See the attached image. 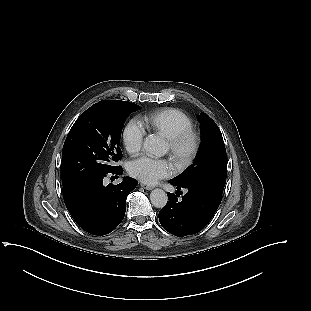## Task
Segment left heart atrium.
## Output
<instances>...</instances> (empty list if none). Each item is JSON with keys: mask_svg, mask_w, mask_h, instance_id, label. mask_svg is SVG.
Here are the masks:
<instances>
[{"mask_svg": "<svg viewBox=\"0 0 311 311\" xmlns=\"http://www.w3.org/2000/svg\"><path fill=\"white\" fill-rule=\"evenodd\" d=\"M128 170L133 177L151 184L168 176L171 172V166L165 159L142 156L132 161Z\"/></svg>", "mask_w": 311, "mask_h": 311, "instance_id": "left-heart-atrium-1", "label": "left heart atrium"}]
</instances>
